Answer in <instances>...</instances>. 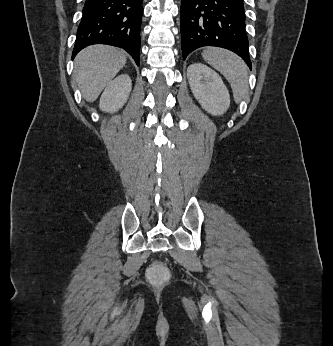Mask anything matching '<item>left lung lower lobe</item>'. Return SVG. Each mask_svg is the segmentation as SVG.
Returning a JSON list of instances; mask_svg holds the SVG:
<instances>
[{
    "instance_id": "1",
    "label": "left lung lower lobe",
    "mask_w": 333,
    "mask_h": 346,
    "mask_svg": "<svg viewBox=\"0 0 333 346\" xmlns=\"http://www.w3.org/2000/svg\"><path fill=\"white\" fill-rule=\"evenodd\" d=\"M181 40L185 59L203 46L226 48L251 69L243 0H182Z\"/></svg>"
}]
</instances>
